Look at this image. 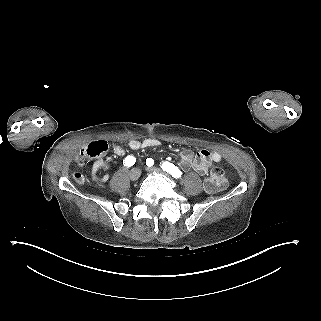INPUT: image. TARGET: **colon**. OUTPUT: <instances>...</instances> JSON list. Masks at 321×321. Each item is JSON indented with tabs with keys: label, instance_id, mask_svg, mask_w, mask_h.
Masks as SVG:
<instances>
[{
	"label": "colon",
	"instance_id": "5ec220e1",
	"mask_svg": "<svg viewBox=\"0 0 321 321\" xmlns=\"http://www.w3.org/2000/svg\"><path fill=\"white\" fill-rule=\"evenodd\" d=\"M99 151L94 147H88L86 150H82L79 157H84L85 155L97 154ZM75 178L78 181H82L83 176L81 173H75ZM227 184V179L225 172L221 168H214L211 170L209 175L204 181V187L207 192L213 193L220 191L225 188Z\"/></svg>",
	"mask_w": 321,
	"mask_h": 321
}]
</instances>
